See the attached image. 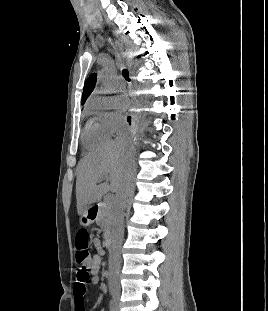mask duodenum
Segmentation results:
<instances>
[{
  "label": "duodenum",
  "instance_id": "410a0bca",
  "mask_svg": "<svg viewBox=\"0 0 268 311\" xmlns=\"http://www.w3.org/2000/svg\"><path fill=\"white\" fill-rule=\"evenodd\" d=\"M98 210V207L97 206H94L91 211H90V214L91 215H95L96 212ZM105 246L107 248L108 251H112L113 250V247H114V240L112 237H108L105 241Z\"/></svg>",
  "mask_w": 268,
  "mask_h": 311
}]
</instances>
